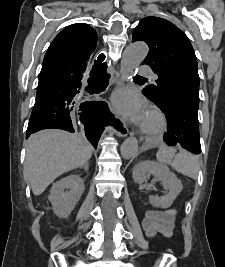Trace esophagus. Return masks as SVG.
Masks as SVG:
<instances>
[{
	"instance_id": "1",
	"label": "esophagus",
	"mask_w": 225,
	"mask_h": 267,
	"mask_svg": "<svg viewBox=\"0 0 225 267\" xmlns=\"http://www.w3.org/2000/svg\"><path fill=\"white\" fill-rule=\"evenodd\" d=\"M114 84L116 87H120L124 84V81L119 72H117L114 76ZM113 114L118 123V126L116 128V133L121 137L127 136L129 131H128V128L125 122L122 120V118L119 116V114L116 111L113 110Z\"/></svg>"
}]
</instances>
